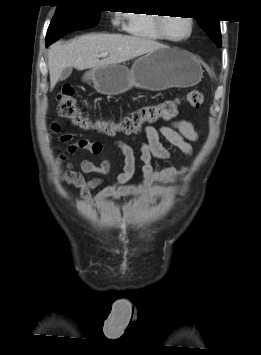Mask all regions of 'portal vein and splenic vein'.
<instances>
[{
    "instance_id": "portal-vein-and-splenic-vein-1",
    "label": "portal vein and splenic vein",
    "mask_w": 261,
    "mask_h": 355,
    "mask_svg": "<svg viewBox=\"0 0 261 355\" xmlns=\"http://www.w3.org/2000/svg\"><path fill=\"white\" fill-rule=\"evenodd\" d=\"M106 56H108V53H107V52H102V53H100V57H106Z\"/></svg>"
}]
</instances>
